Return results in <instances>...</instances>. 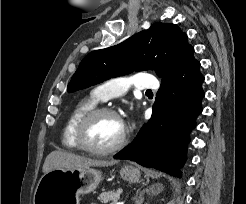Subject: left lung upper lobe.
<instances>
[{"label":"left lung upper lobe","mask_w":246,"mask_h":204,"mask_svg":"<svg viewBox=\"0 0 246 204\" xmlns=\"http://www.w3.org/2000/svg\"><path fill=\"white\" fill-rule=\"evenodd\" d=\"M190 47L186 34L177 25L154 23L118 45L89 53L67 91L84 89L132 71L155 69L164 78Z\"/></svg>","instance_id":"obj_1"}]
</instances>
